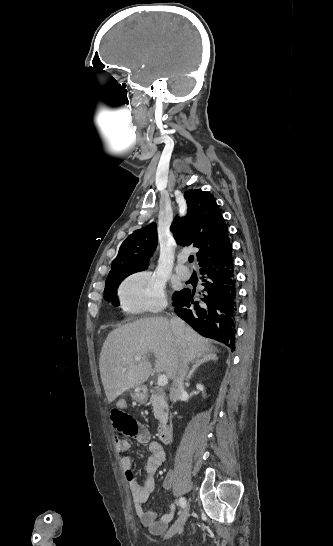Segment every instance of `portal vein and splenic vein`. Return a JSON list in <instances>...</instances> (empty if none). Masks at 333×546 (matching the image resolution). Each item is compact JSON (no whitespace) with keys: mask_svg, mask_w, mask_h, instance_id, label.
Here are the masks:
<instances>
[{"mask_svg":"<svg viewBox=\"0 0 333 546\" xmlns=\"http://www.w3.org/2000/svg\"><path fill=\"white\" fill-rule=\"evenodd\" d=\"M134 359H135V361H140L142 359V357H135ZM157 383H158L159 386L167 385L168 384V377L165 374H162V375L158 376V382Z\"/></svg>","mask_w":333,"mask_h":546,"instance_id":"obj_1","label":"portal vein and splenic vein"}]
</instances>
